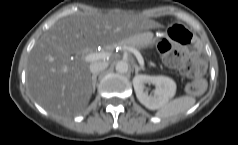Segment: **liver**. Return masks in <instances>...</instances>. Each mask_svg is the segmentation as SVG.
<instances>
[{"label": "liver", "mask_w": 238, "mask_h": 145, "mask_svg": "<svg viewBox=\"0 0 238 145\" xmlns=\"http://www.w3.org/2000/svg\"><path fill=\"white\" fill-rule=\"evenodd\" d=\"M159 24L142 16L122 12H74L58 20L30 52L26 80L38 102L51 114H78L88 105L92 92L89 64L71 55L108 47Z\"/></svg>", "instance_id": "6515ba94"}]
</instances>
